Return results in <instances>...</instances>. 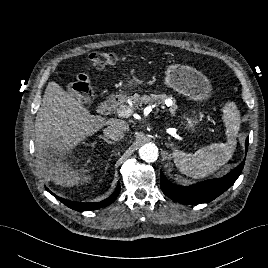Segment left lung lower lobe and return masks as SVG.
Listing matches in <instances>:
<instances>
[{
  "instance_id": "left-lung-lower-lobe-1",
  "label": "left lung lower lobe",
  "mask_w": 268,
  "mask_h": 268,
  "mask_svg": "<svg viewBox=\"0 0 268 268\" xmlns=\"http://www.w3.org/2000/svg\"><path fill=\"white\" fill-rule=\"evenodd\" d=\"M246 151L248 139L245 142ZM245 160L222 178L211 179L191 186H179L172 184L165 175L160 172V186L166 196L183 204H200L214 200L224 191L230 188L239 177Z\"/></svg>"
}]
</instances>
